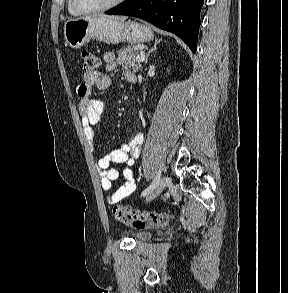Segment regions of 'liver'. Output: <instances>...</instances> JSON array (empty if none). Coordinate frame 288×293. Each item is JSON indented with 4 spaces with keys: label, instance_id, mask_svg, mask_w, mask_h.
<instances>
[{
    "label": "liver",
    "instance_id": "1",
    "mask_svg": "<svg viewBox=\"0 0 288 293\" xmlns=\"http://www.w3.org/2000/svg\"><path fill=\"white\" fill-rule=\"evenodd\" d=\"M96 16H103L106 18L117 19V20H125L126 17H117V16H105V15H96Z\"/></svg>",
    "mask_w": 288,
    "mask_h": 293
}]
</instances>
